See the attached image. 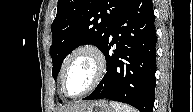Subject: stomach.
I'll list each match as a JSON object with an SVG mask.
<instances>
[{
    "mask_svg": "<svg viewBox=\"0 0 193 112\" xmlns=\"http://www.w3.org/2000/svg\"><path fill=\"white\" fill-rule=\"evenodd\" d=\"M77 112H113V109L105 100H99L91 102L89 105Z\"/></svg>",
    "mask_w": 193,
    "mask_h": 112,
    "instance_id": "obj_1",
    "label": "stomach"
}]
</instances>
